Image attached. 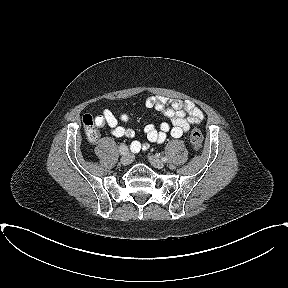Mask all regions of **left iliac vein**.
<instances>
[{"mask_svg": "<svg viewBox=\"0 0 288 288\" xmlns=\"http://www.w3.org/2000/svg\"><path fill=\"white\" fill-rule=\"evenodd\" d=\"M148 159L155 168L162 169L164 167V162L159 157L150 155Z\"/></svg>", "mask_w": 288, "mask_h": 288, "instance_id": "obj_1", "label": "left iliac vein"}]
</instances>
